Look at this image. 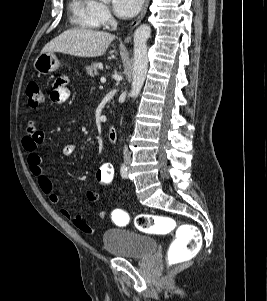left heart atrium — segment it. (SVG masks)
<instances>
[{"label":"left heart atrium","mask_w":267,"mask_h":301,"mask_svg":"<svg viewBox=\"0 0 267 301\" xmlns=\"http://www.w3.org/2000/svg\"><path fill=\"white\" fill-rule=\"evenodd\" d=\"M143 0H112L114 12L121 18H130L138 13Z\"/></svg>","instance_id":"39dd6f15"}]
</instances>
